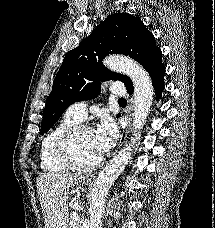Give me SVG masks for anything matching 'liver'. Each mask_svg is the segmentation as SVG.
I'll return each mask as SVG.
<instances>
[{"label": "liver", "mask_w": 215, "mask_h": 228, "mask_svg": "<svg viewBox=\"0 0 215 228\" xmlns=\"http://www.w3.org/2000/svg\"><path fill=\"white\" fill-rule=\"evenodd\" d=\"M81 174H41L36 180L37 194L45 228H67L69 188L82 182Z\"/></svg>", "instance_id": "obj_1"}]
</instances>
